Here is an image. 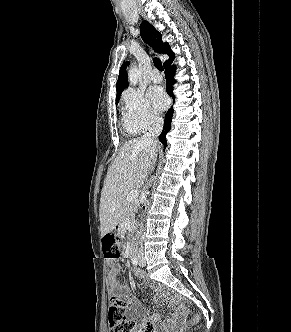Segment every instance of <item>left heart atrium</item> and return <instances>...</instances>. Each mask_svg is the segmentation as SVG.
Listing matches in <instances>:
<instances>
[{"mask_svg":"<svg viewBox=\"0 0 291 332\" xmlns=\"http://www.w3.org/2000/svg\"><path fill=\"white\" fill-rule=\"evenodd\" d=\"M149 98L157 110H163L168 102L164 91L159 87H153L149 90Z\"/></svg>","mask_w":291,"mask_h":332,"instance_id":"1","label":"left heart atrium"}]
</instances>
